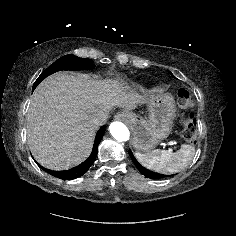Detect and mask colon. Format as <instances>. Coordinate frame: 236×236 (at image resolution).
Returning <instances> with one entry per match:
<instances>
[{"label": "colon", "mask_w": 236, "mask_h": 236, "mask_svg": "<svg viewBox=\"0 0 236 236\" xmlns=\"http://www.w3.org/2000/svg\"><path fill=\"white\" fill-rule=\"evenodd\" d=\"M177 100L183 110L181 115V135L187 142L196 144V119L194 112L190 110L193 105L192 96L187 89L181 88L177 93Z\"/></svg>", "instance_id": "colon-1"}]
</instances>
